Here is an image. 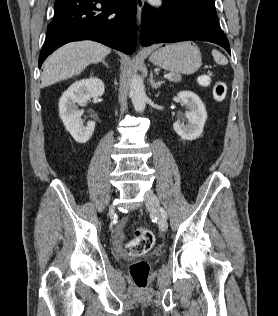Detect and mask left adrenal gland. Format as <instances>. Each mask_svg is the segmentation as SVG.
I'll list each match as a JSON object with an SVG mask.
<instances>
[{"label": "left adrenal gland", "instance_id": "left-adrenal-gland-1", "mask_svg": "<svg viewBox=\"0 0 278 316\" xmlns=\"http://www.w3.org/2000/svg\"><path fill=\"white\" fill-rule=\"evenodd\" d=\"M150 82L153 88L158 89L162 84H164V81H155L153 73L150 74Z\"/></svg>", "mask_w": 278, "mask_h": 316}]
</instances>
